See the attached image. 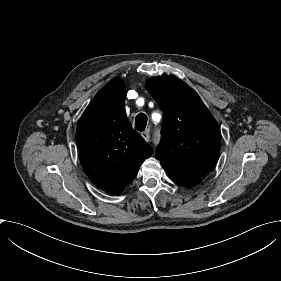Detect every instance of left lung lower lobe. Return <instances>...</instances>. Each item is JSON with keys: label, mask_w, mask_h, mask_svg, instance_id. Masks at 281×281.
<instances>
[{"label": "left lung lower lobe", "mask_w": 281, "mask_h": 281, "mask_svg": "<svg viewBox=\"0 0 281 281\" xmlns=\"http://www.w3.org/2000/svg\"><path fill=\"white\" fill-rule=\"evenodd\" d=\"M163 168L174 182L185 187H191L199 183L207 175L203 173L192 174V173L180 172L165 166H163Z\"/></svg>", "instance_id": "0a47b994"}]
</instances>
